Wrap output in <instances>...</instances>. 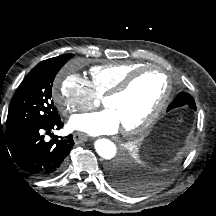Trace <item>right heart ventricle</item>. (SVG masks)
<instances>
[{"label": "right heart ventricle", "instance_id": "1", "mask_svg": "<svg viewBox=\"0 0 216 216\" xmlns=\"http://www.w3.org/2000/svg\"><path fill=\"white\" fill-rule=\"evenodd\" d=\"M143 66L132 61H120L96 65L90 68L89 83L97 95H105L114 88L128 73Z\"/></svg>", "mask_w": 216, "mask_h": 216}]
</instances>
